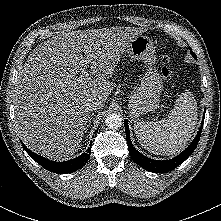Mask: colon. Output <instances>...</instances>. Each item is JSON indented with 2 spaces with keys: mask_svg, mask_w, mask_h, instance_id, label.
Returning a JSON list of instances; mask_svg holds the SVG:
<instances>
[{
  "mask_svg": "<svg viewBox=\"0 0 221 221\" xmlns=\"http://www.w3.org/2000/svg\"><path fill=\"white\" fill-rule=\"evenodd\" d=\"M161 75L165 80H169L172 77V70L169 66L164 65L161 68Z\"/></svg>",
  "mask_w": 221,
  "mask_h": 221,
  "instance_id": "obj_1",
  "label": "colon"
}]
</instances>
